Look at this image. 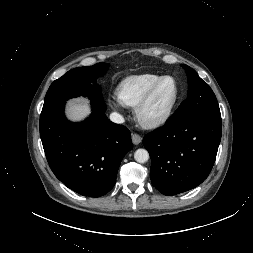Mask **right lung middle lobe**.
Wrapping results in <instances>:
<instances>
[{
    "label": "right lung middle lobe",
    "instance_id": "1",
    "mask_svg": "<svg viewBox=\"0 0 253 253\" xmlns=\"http://www.w3.org/2000/svg\"><path fill=\"white\" fill-rule=\"evenodd\" d=\"M108 66L105 63H97L93 66L74 68L55 80L47 91L41 113L78 96L88 97L91 101L103 100L96 79L107 72Z\"/></svg>",
    "mask_w": 253,
    "mask_h": 253
}]
</instances>
